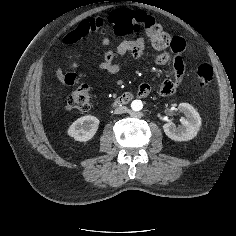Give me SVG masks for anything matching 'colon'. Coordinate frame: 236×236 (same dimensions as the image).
I'll return each instance as SVG.
<instances>
[{
	"instance_id": "5ec220e1",
	"label": "colon",
	"mask_w": 236,
	"mask_h": 236,
	"mask_svg": "<svg viewBox=\"0 0 236 236\" xmlns=\"http://www.w3.org/2000/svg\"><path fill=\"white\" fill-rule=\"evenodd\" d=\"M153 19L144 12H135L128 9H118L108 16L94 17L80 24L66 38L69 43L81 42L89 33L111 29L118 36H130L147 30L151 27ZM166 39L170 35L162 28L158 31ZM197 78L201 85L206 86L213 80V68L209 64H202L197 68ZM64 82L68 85H75L74 90L67 98L66 108L75 112H86L91 103V90L88 85L79 83L74 75H67Z\"/></svg>"
}]
</instances>
